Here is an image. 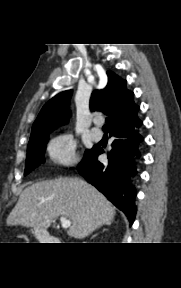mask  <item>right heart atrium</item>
Instances as JSON below:
<instances>
[{"mask_svg":"<svg viewBox=\"0 0 181 288\" xmlns=\"http://www.w3.org/2000/svg\"><path fill=\"white\" fill-rule=\"evenodd\" d=\"M76 141L70 133L54 136L48 143L47 153L52 163L70 166L76 163Z\"/></svg>","mask_w":181,"mask_h":288,"instance_id":"obj_1","label":"right heart atrium"}]
</instances>
